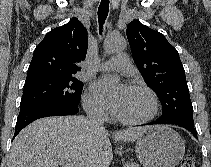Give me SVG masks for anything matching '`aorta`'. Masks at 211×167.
<instances>
[{
	"mask_svg": "<svg viewBox=\"0 0 211 167\" xmlns=\"http://www.w3.org/2000/svg\"><path fill=\"white\" fill-rule=\"evenodd\" d=\"M127 47V41L121 36H108L104 42V51L107 54L123 51Z\"/></svg>",
	"mask_w": 211,
	"mask_h": 167,
	"instance_id": "obj_1",
	"label": "aorta"
}]
</instances>
